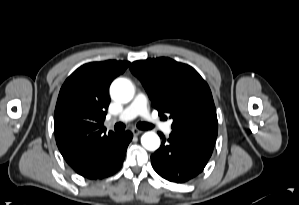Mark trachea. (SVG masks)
<instances>
[{"mask_svg": "<svg viewBox=\"0 0 299 205\" xmlns=\"http://www.w3.org/2000/svg\"><path fill=\"white\" fill-rule=\"evenodd\" d=\"M137 127L139 129H142V130H149V129H152L154 126L152 124H149V123L139 122L137 124ZM114 130L118 133H121L125 130V125L121 122L116 123L115 126H114Z\"/></svg>", "mask_w": 299, "mask_h": 205, "instance_id": "obj_1", "label": "trachea"}]
</instances>
